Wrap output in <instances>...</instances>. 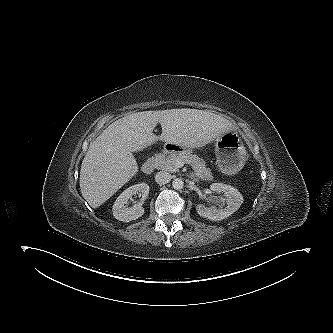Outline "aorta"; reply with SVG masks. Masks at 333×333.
<instances>
[{
    "label": "aorta",
    "mask_w": 333,
    "mask_h": 333,
    "mask_svg": "<svg viewBox=\"0 0 333 333\" xmlns=\"http://www.w3.org/2000/svg\"><path fill=\"white\" fill-rule=\"evenodd\" d=\"M172 186L175 190H180V189L183 188L184 182L181 179L176 178V179L173 180Z\"/></svg>",
    "instance_id": "1"
}]
</instances>
